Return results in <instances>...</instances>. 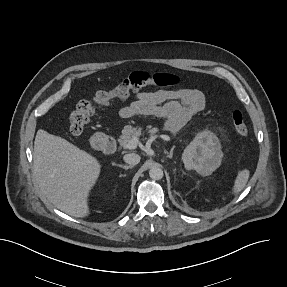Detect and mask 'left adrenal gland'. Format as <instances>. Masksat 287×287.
<instances>
[{
	"mask_svg": "<svg viewBox=\"0 0 287 287\" xmlns=\"http://www.w3.org/2000/svg\"><path fill=\"white\" fill-rule=\"evenodd\" d=\"M174 148H175V146H173L172 148H171V150H170V152L168 153V152H165L166 154H167V156L166 157H168V158H172L173 157V151H174Z\"/></svg>",
	"mask_w": 287,
	"mask_h": 287,
	"instance_id": "left-adrenal-gland-1",
	"label": "left adrenal gland"
}]
</instances>
